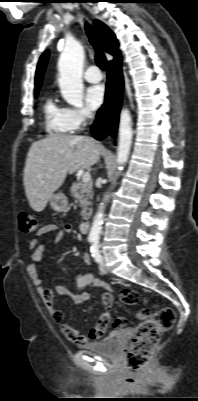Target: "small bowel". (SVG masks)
<instances>
[{"label":"small bowel","instance_id":"c3829d8e","mask_svg":"<svg viewBox=\"0 0 198 401\" xmlns=\"http://www.w3.org/2000/svg\"><path fill=\"white\" fill-rule=\"evenodd\" d=\"M72 225L67 224L60 227L56 224H46L42 226L36 236L30 241L29 249L31 258L33 261L38 262L42 259V246L39 244V240L50 233H54L55 244H61L63 240L72 232ZM83 261L90 265L91 259L87 253L83 254ZM27 274L31 279L32 284L37 288V292L42 297L44 303L50 310L53 320L57 323H62L64 315L61 310L54 306V293L50 289H46L42 286V279L40 278L37 268L34 264H30L26 268ZM75 290L70 292L65 285L58 284L55 287L56 294L59 296L69 297L75 303H82L90 298V292L86 291V287H101L107 290L101 296V303L104 308V312L99 317L97 323L90 329L87 335L81 334L75 327L63 325L61 332L65 338L69 341L74 342L78 345H84L88 341L97 340L104 336L106 333L107 325L110 319V309L113 305V297L109 292L111 286L96 277L92 273H78L74 276Z\"/></svg>","mask_w":198,"mask_h":401}]
</instances>
